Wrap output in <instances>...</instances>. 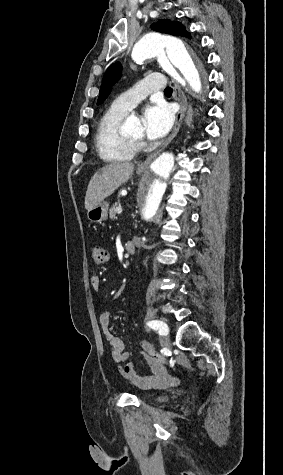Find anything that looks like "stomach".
<instances>
[{
  "instance_id": "obj_1",
  "label": "stomach",
  "mask_w": 283,
  "mask_h": 475,
  "mask_svg": "<svg viewBox=\"0 0 283 475\" xmlns=\"http://www.w3.org/2000/svg\"><path fill=\"white\" fill-rule=\"evenodd\" d=\"M148 170H136V174L138 176H142V174H147ZM108 208L109 204L108 202H101V204H98V206H95V208H92V210H88L87 212V218L90 220L91 224H99V222H105L108 218Z\"/></svg>"
}]
</instances>
